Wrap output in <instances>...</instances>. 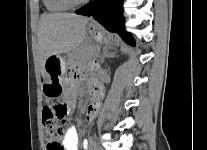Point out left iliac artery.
Wrapping results in <instances>:
<instances>
[{
  "instance_id": "1",
  "label": "left iliac artery",
  "mask_w": 207,
  "mask_h": 150,
  "mask_svg": "<svg viewBox=\"0 0 207 150\" xmlns=\"http://www.w3.org/2000/svg\"><path fill=\"white\" fill-rule=\"evenodd\" d=\"M87 144H88V143H87V140H85V141H84V146L86 147V146H87Z\"/></svg>"
}]
</instances>
